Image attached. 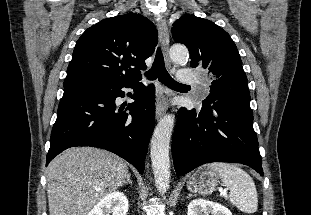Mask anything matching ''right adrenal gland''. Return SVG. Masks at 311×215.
<instances>
[{
  "label": "right adrenal gland",
  "mask_w": 311,
  "mask_h": 215,
  "mask_svg": "<svg viewBox=\"0 0 311 215\" xmlns=\"http://www.w3.org/2000/svg\"><path fill=\"white\" fill-rule=\"evenodd\" d=\"M127 183H129L130 185H132V181L130 179V174H128L127 179L124 181V185H126Z\"/></svg>",
  "instance_id": "right-adrenal-gland-1"
}]
</instances>
